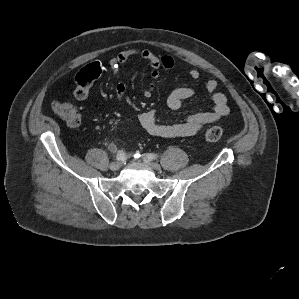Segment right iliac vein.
I'll return each mask as SVG.
<instances>
[{
	"label": "right iliac vein",
	"mask_w": 299,
	"mask_h": 299,
	"mask_svg": "<svg viewBox=\"0 0 299 299\" xmlns=\"http://www.w3.org/2000/svg\"><path fill=\"white\" fill-rule=\"evenodd\" d=\"M120 167H121V163H120V162H112V163L110 164V169H111L112 171H117V170L120 169Z\"/></svg>",
	"instance_id": "63e3f726"
}]
</instances>
